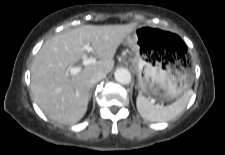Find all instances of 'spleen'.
<instances>
[{
  "label": "spleen",
  "mask_w": 225,
  "mask_h": 155,
  "mask_svg": "<svg viewBox=\"0 0 225 155\" xmlns=\"http://www.w3.org/2000/svg\"><path fill=\"white\" fill-rule=\"evenodd\" d=\"M193 94L192 90H188L182 97L177 99L170 105L165 107H157L153 99L139 95L136 99L137 110L141 117L150 122H165L175 118L186 107L188 101Z\"/></svg>",
  "instance_id": "3e777b00"
}]
</instances>
